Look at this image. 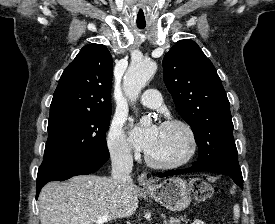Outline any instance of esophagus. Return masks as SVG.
Listing matches in <instances>:
<instances>
[{
	"label": "esophagus",
	"instance_id": "esophagus-1",
	"mask_svg": "<svg viewBox=\"0 0 275 224\" xmlns=\"http://www.w3.org/2000/svg\"><path fill=\"white\" fill-rule=\"evenodd\" d=\"M138 181H139V184L143 187H149L151 185V182L150 180L148 179L147 177V174L146 173H141L139 176H138Z\"/></svg>",
	"mask_w": 275,
	"mask_h": 224
}]
</instances>
